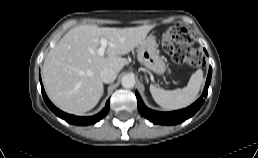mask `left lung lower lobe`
<instances>
[{
  "instance_id": "1",
  "label": "left lung lower lobe",
  "mask_w": 258,
  "mask_h": 158,
  "mask_svg": "<svg viewBox=\"0 0 258 158\" xmlns=\"http://www.w3.org/2000/svg\"><path fill=\"white\" fill-rule=\"evenodd\" d=\"M204 51L207 54L205 49H204ZM211 75H212V68L210 67L209 73L207 76V80H206V84H205V88H204V91H203L201 97L188 108L178 110V111H173V112L154 111V110L147 108L144 105L139 93L136 91L135 94H136L137 101H138V110L142 114V116H144L146 119H148L149 121H151L154 124H161V125L179 124V123L187 120L188 118L192 117L204 103V98L208 94L207 89L210 85Z\"/></svg>"
}]
</instances>
